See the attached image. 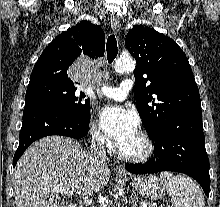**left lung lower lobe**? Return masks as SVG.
<instances>
[{"mask_svg":"<svg viewBox=\"0 0 220 207\" xmlns=\"http://www.w3.org/2000/svg\"><path fill=\"white\" fill-rule=\"evenodd\" d=\"M154 157L145 164H128L133 174L174 171L193 177L209 196V159L205 149L202 111H186L171 118L154 137Z\"/></svg>","mask_w":220,"mask_h":207,"instance_id":"0a47b994","label":"left lung lower lobe"}]
</instances>
